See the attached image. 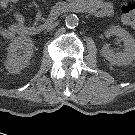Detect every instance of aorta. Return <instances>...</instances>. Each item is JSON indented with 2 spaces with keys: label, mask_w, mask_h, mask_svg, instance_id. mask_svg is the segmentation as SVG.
Here are the masks:
<instances>
[{
  "label": "aorta",
  "mask_w": 135,
  "mask_h": 135,
  "mask_svg": "<svg viewBox=\"0 0 135 135\" xmlns=\"http://www.w3.org/2000/svg\"><path fill=\"white\" fill-rule=\"evenodd\" d=\"M65 23L68 28H75L79 25V18L75 14H69L65 18Z\"/></svg>",
  "instance_id": "1"
}]
</instances>
